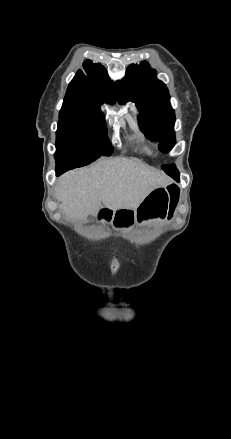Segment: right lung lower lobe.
Masks as SVG:
<instances>
[{
  "label": "right lung lower lobe",
  "mask_w": 231,
  "mask_h": 439,
  "mask_svg": "<svg viewBox=\"0 0 231 439\" xmlns=\"http://www.w3.org/2000/svg\"><path fill=\"white\" fill-rule=\"evenodd\" d=\"M68 170V168L67 167H62V168H56V173H57V175H60V174H62L63 172H65V171H67Z\"/></svg>",
  "instance_id": "1"
}]
</instances>
